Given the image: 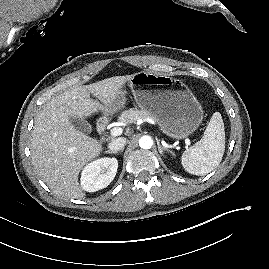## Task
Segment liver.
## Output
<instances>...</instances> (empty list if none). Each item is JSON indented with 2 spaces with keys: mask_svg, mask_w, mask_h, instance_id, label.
<instances>
[{
  "mask_svg": "<svg viewBox=\"0 0 269 269\" xmlns=\"http://www.w3.org/2000/svg\"><path fill=\"white\" fill-rule=\"evenodd\" d=\"M133 75L114 76L75 87L48 101L36 116L31 155L34 168L58 196L84 198L80 170L102 151V144L77 130L69 117L88 118L115 100ZM90 94L96 97L93 100Z\"/></svg>",
  "mask_w": 269,
  "mask_h": 269,
  "instance_id": "obj_1",
  "label": "liver"
}]
</instances>
